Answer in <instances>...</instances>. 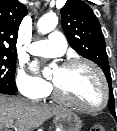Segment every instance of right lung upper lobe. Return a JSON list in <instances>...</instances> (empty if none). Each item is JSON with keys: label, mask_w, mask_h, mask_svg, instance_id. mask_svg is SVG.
Wrapping results in <instances>:
<instances>
[{"label": "right lung upper lobe", "mask_w": 117, "mask_h": 131, "mask_svg": "<svg viewBox=\"0 0 117 131\" xmlns=\"http://www.w3.org/2000/svg\"><path fill=\"white\" fill-rule=\"evenodd\" d=\"M26 14V6L17 0H0L1 53H16L18 29Z\"/></svg>", "instance_id": "cb5924a9"}]
</instances>
